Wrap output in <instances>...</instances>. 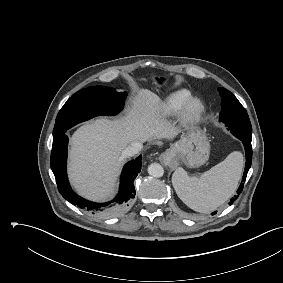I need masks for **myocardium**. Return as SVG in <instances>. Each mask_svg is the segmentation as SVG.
Returning <instances> with one entry per match:
<instances>
[{
  "instance_id": "1",
  "label": "myocardium",
  "mask_w": 283,
  "mask_h": 283,
  "mask_svg": "<svg viewBox=\"0 0 283 283\" xmlns=\"http://www.w3.org/2000/svg\"><path fill=\"white\" fill-rule=\"evenodd\" d=\"M204 111V102L200 98L190 97L180 111L182 123L185 125L197 123L202 118Z\"/></svg>"
}]
</instances>
